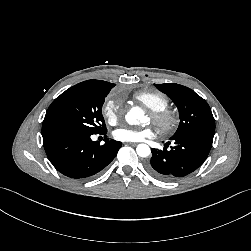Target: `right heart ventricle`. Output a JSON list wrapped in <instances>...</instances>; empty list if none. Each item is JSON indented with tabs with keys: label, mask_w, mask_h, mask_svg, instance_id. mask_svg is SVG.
I'll return each instance as SVG.
<instances>
[{
	"label": "right heart ventricle",
	"mask_w": 251,
	"mask_h": 251,
	"mask_svg": "<svg viewBox=\"0 0 251 251\" xmlns=\"http://www.w3.org/2000/svg\"><path fill=\"white\" fill-rule=\"evenodd\" d=\"M134 98L151 111L165 110L169 104L168 98L156 91H140L134 95Z\"/></svg>",
	"instance_id": "obj_1"
}]
</instances>
